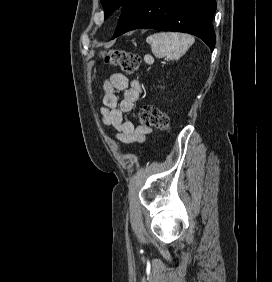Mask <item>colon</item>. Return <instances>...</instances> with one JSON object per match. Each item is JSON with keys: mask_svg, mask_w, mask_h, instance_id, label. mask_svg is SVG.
I'll return each instance as SVG.
<instances>
[{"mask_svg": "<svg viewBox=\"0 0 272 282\" xmlns=\"http://www.w3.org/2000/svg\"><path fill=\"white\" fill-rule=\"evenodd\" d=\"M102 57L107 64L119 66L128 73L137 71L141 64L138 55L122 50L105 51ZM139 120L142 125L153 126L163 131H168L171 126L169 115L153 106H143L139 111Z\"/></svg>", "mask_w": 272, "mask_h": 282, "instance_id": "obj_1", "label": "colon"}]
</instances>
